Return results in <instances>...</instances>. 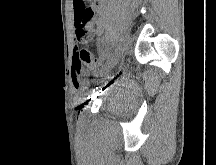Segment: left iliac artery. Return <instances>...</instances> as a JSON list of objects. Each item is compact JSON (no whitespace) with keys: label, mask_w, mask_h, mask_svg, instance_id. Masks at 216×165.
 I'll use <instances>...</instances> for the list:
<instances>
[{"label":"left iliac artery","mask_w":216,"mask_h":165,"mask_svg":"<svg viewBox=\"0 0 216 165\" xmlns=\"http://www.w3.org/2000/svg\"><path fill=\"white\" fill-rule=\"evenodd\" d=\"M108 51L107 50H105V51H103L102 53H101V56H102V59L100 60L102 63L105 61L104 59L106 58V56L108 55Z\"/></svg>","instance_id":"1"}]
</instances>
